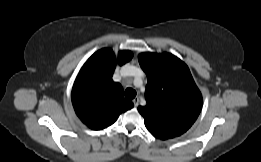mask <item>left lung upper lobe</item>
Returning <instances> with one entry per match:
<instances>
[{
  "mask_svg": "<svg viewBox=\"0 0 261 162\" xmlns=\"http://www.w3.org/2000/svg\"><path fill=\"white\" fill-rule=\"evenodd\" d=\"M138 60L148 78L147 104L138 107L146 128L162 140L182 135L202 108V95L188 66L170 53H141Z\"/></svg>",
  "mask_w": 261,
  "mask_h": 162,
  "instance_id": "left-lung-upper-lobe-1",
  "label": "left lung upper lobe"
}]
</instances>
